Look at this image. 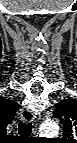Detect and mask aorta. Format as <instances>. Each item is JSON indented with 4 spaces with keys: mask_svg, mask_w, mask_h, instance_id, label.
<instances>
[{
    "mask_svg": "<svg viewBox=\"0 0 77 143\" xmlns=\"http://www.w3.org/2000/svg\"><path fill=\"white\" fill-rule=\"evenodd\" d=\"M39 132L41 133V135L43 136H47V137H53L58 135L59 133V126L56 122L54 121H46L44 122L40 128H39Z\"/></svg>",
    "mask_w": 77,
    "mask_h": 143,
    "instance_id": "obj_1",
    "label": "aorta"
}]
</instances>
